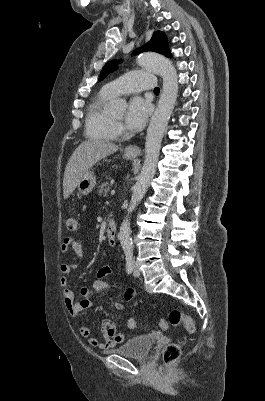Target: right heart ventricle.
<instances>
[{"label":"right heart ventricle","mask_w":265,"mask_h":401,"mask_svg":"<svg viewBox=\"0 0 265 401\" xmlns=\"http://www.w3.org/2000/svg\"><path fill=\"white\" fill-rule=\"evenodd\" d=\"M114 97L104 86L90 98L86 109V133L89 137L108 141L119 134L107 108Z\"/></svg>","instance_id":"right-heart-ventricle-1"}]
</instances>
